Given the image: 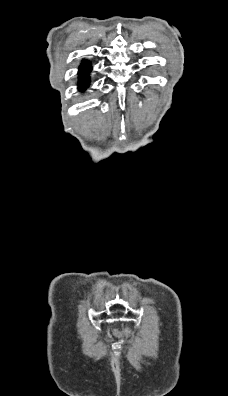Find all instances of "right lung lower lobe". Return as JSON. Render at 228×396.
Returning <instances> with one entry per match:
<instances>
[{
  "instance_id": "right-lung-lower-lobe-1",
  "label": "right lung lower lobe",
  "mask_w": 228,
  "mask_h": 396,
  "mask_svg": "<svg viewBox=\"0 0 228 396\" xmlns=\"http://www.w3.org/2000/svg\"><path fill=\"white\" fill-rule=\"evenodd\" d=\"M91 66L88 62H83L79 70V87L85 89L89 84V73Z\"/></svg>"
}]
</instances>
